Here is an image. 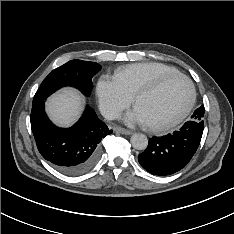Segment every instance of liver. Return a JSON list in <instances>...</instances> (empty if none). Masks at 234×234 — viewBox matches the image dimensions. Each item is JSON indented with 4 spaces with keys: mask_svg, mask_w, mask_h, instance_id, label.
Listing matches in <instances>:
<instances>
[{
    "mask_svg": "<svg viewBox=\"0 0 234 234\" xmlns=\"http://www.w3.org/2000/svg\"><path fill=\"white\" fill-rule=\"evenodd\" d=\"M46 110L55 124L64 127L70 126L80 116L82 97L73 89H64L49 98Z\"/></svg>",
    "mask_w": 234,
    "mask_h": 234,
    "instance_id": "obj_1",
    "label": "liver"
}]
</instances>
